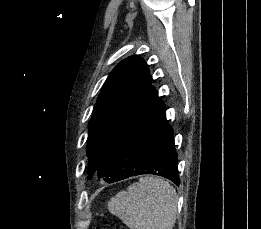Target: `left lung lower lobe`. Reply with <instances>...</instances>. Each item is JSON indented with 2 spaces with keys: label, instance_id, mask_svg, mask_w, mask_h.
<instances>
[{
  "label": "left lung lower lobe",
  "instance_id": "1",
  "mask_svg": "<svg viewBox=\"0 0 261 229\" xmlns=\"http://www.w3.org/2000/svg\"><path fill=\"white\" fill-rule=\"evenodd\" d=\"M177 156L165 106L156 94L108 149L97 175L111 183L134 175L154 174L179 185Z\"/></svg>",
  "mask_w": 261,
  "mask_h": 229
}]
</instances>
